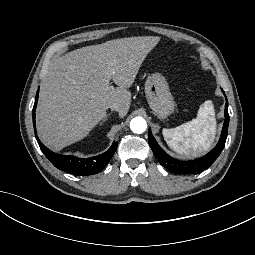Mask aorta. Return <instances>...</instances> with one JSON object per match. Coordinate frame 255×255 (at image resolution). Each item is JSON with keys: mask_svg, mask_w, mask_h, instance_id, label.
<instances>
[{"mask_svg": "<svg viewBox=\"0 0 255 255\" xmlns=\"http://www.w3.org/2000/svg\"><path fill=\"white\" fill-rule=\"evenodd\" d=\"M147 128V123L144 118L142 117H135L130 122V129L134 133L141 134L143 133Z\"/></svg>", "mask_w": 255, "mask_h": 255, "instance_id": "aorta-1", "label": "aorta"}]
</instances>
